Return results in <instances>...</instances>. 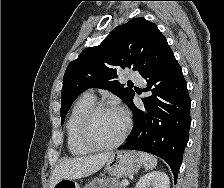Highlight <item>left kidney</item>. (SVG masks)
Returning a JSON list of instances; mask_svg holds the SVG:
<instances>
[{"label":"left kidney","mask_w":224,"mask_h":188,"mask_svg":"<svg viewBox=\"0 0 224 188\" xmlns=\"http://www.w3.org/2000/svg\"><path fill=\"white\" fill-rule=\"evenodd\" d=\"M135 188H170L169 177L161 171H153L142 176Z\"/></svg>","instance_id":"5707ae66"}]
</instances>
